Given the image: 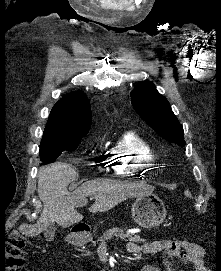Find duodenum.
I'll list each match as a JSON object with an SVG mask.
<instances>
[{"label": "duodenum", "mask_w": 221, "mask_h": 271, "mask_svg": "<svg viewBox=\"0 0 221 271\" xmlns=\"http://www.w3.org/2000/svg\"><path fill=\"white\" fill-rule=\"evenodd\" d=\"M88 242V232L86 230H75L70 237V243L74 246H81ZM111 271V270H104Z\"/></svg>", "instance_id": "duodenum-1"}]
</instances>
